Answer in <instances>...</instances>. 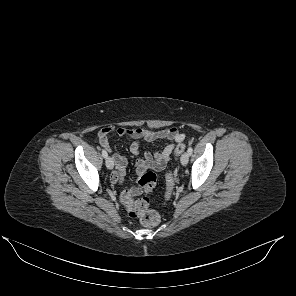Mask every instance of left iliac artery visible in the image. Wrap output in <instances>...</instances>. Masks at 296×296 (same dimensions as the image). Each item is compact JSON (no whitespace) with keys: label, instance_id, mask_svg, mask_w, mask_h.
I'll return each instance as SVG.
<instances>
[{"label":"left iliac artery","instance_id":"44dca946","mask_svg":"<svg viewBox=\"0 0 296 296\" xmlns=\"http://www.w3.org/2000/svg\"><path fill=\"white\" fill-rule=\"evenodd\" d=\"M187 152H188V154H189V155H191V154H192V152H193V149H192V147H189V148H188V150H187Z\"/></svg>","mask_w":296,"mask_h":296}]
</instances>
